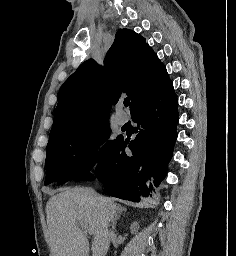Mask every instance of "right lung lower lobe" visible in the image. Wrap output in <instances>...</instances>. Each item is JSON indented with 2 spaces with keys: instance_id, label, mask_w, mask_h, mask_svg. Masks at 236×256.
I'll use <instances>...</instances> for the list:
<instances>
[{
  "instance_id": "right-lung-lower-lobe-1",
  "label": "right lung lower lobe",
  "mask_w": 236,
  "mask_h": 256,
  "mask_svg": "<svg viewBox=\"0 0 236 256\" xmlns=\"http://www.w3.org/2000/svg\"><path fill=\"white\" fill-rule=\"evenodd\" d=\"M178 100L170 80L131 111L138 130L134 140L121 136L106 160L93 172L102 182L107 194L139 202L152 196L155 187L165 178L177 139ZM133 132V133H134ZM131 152H125L126 145ZM89 174L77 181L94 180Z\"/></svg>"
}]
</instances>
